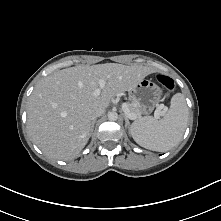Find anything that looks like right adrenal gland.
<instances>
[{
    "mask_svg": "<svg viewBox=\"0 0 221 221\" xmlns=\"http://www.w3.org/2000/svg\"><path fill=\"white\" fill-rule=\"evenodd\" d=\"M95 123H96V119L92 121L90 135H92V133H93Z\"/></svg>",
    "mask_w": 221,
    "mask_h": 221,
    "instance_id": "2a0ac1e0",
    "label": "right adrenal gland"
}]
</instances>
